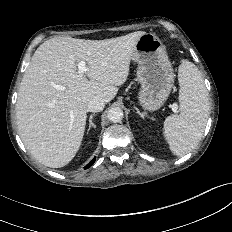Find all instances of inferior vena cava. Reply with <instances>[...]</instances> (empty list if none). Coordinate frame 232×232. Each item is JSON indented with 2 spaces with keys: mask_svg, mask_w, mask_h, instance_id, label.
Instances as JSON below:
<instances>
[{
  "mask_svg": "<svg viewBox=\"0 0 232 232\" xmlns=\"http://www.w3.org/2000/svg\"><path fill=\"white\" fill-rule=\"evenodd\" d=\"M104 106H105V101L102 98L94 97L88 102L87 109L90 112L96 113L102 111Z\"/></svg>",
  "mask_w": 232,
  "mask_h": 232,
  "instance_id": "obj_1",
  "label": "inferior vena cava"
}]
</instances>
